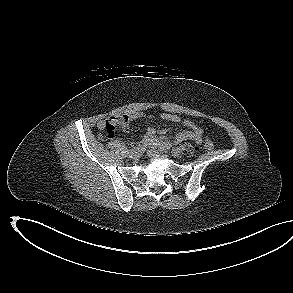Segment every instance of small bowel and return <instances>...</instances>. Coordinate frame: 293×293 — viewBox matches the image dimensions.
Listing matches in <instances>:
<instances>
[{
  "mask_svg": "<svg viewBox=\"0 0 293 293\" xmlns=\"http://www.w3.org/2000/svg\"><path fill=\"white\" fill-rule=\"evenodd\" d=\"M139 118H146L150 119L151 116L145 115L143 113H137L134 115H125L121 118L112 117L109 120H115L118 122V124H121L124 131L129 130V122L135 119ZM161 118L164 121L173 122V123H179L182 122V124L187 128L186 130H183L179 132L173 140H170L166 135L165 130H156L155 128L148 126L146 128V131L144 135L141 137V142L144 145H150V146H156V147H162L164 145H172L177 144L185 141H194L197 144L202 143V136H203V129L200 128L196 123H194L191 120H182L179 116L171 113H163L161 115ZM108 120H101L97 123V128L100 131H103L106 127Z\"/></svg>",
  "mask_w": 293,
  "mask_h": 293,
  "instance_id": "obj_1",
  "label": "small bowel"
}]
</instances>
